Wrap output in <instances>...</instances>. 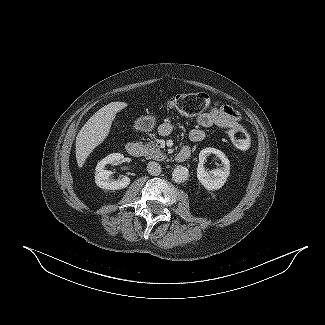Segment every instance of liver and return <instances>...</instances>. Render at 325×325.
Masks as SVG:
<instances>
[{"label": "liver", "instance_id": "6515ba94", "mask_svg": "<svg viewBox=\"0 0 325 325\" xmlns=\"http://www.w3.org/2000/svg\"><path fill=\"white\" fill-rule=\"evenodd\" d=\"M127 106L125 102H111L84 124L76 137V160L80 168L92 151L107 138L116 114Z\"/></svg>", "mask_w": 325, "mask_h": 325}]
</instances>
